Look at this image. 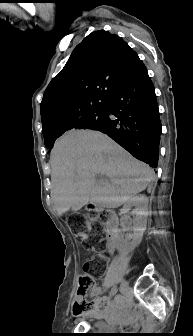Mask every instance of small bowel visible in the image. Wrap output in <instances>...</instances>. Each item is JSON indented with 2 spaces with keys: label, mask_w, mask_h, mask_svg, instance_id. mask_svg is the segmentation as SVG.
Masks as SVG:
<instances>
[{
  "label": "small bowel",
  "mask_w": 193,
  "mask_h": 336,
  "mask_svg": "<svg viewBox=\"0 0 193 336\" xmlns=\"http://www.w3.org/2000/svg\"><path fill=\"white\" fill-rule=\"evenodd\" d=\"M101 292L100 287H94L90 292L91 298H96ZM100 305H105L104 318L112 324L131 325L137 320V316L129 310L127 299H119L117 303L109 302L106 298L99 299Z\"/></svg>",
  "instance_id": "c3829d8e"
}]
</instances>
